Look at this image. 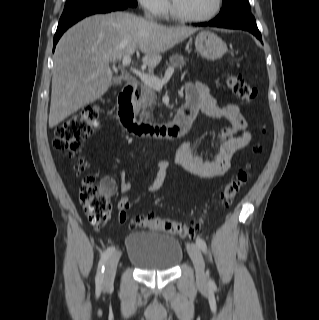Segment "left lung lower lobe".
<instances>
[{"mask_svg":"<svg viewBox=\"0 0 319 320\" xmlns=\"http://www.w3.org/2000/svg\"><path fill=\"white\" fill-rule=\"evenodd\" d=\"M195 26H213L230 29H242L249 31L258 39H261V34L257 28L255 18L251 12L234 11L226 15H218L215 19L205 22L194 24Z\"/></svg>","mask_w":319,"mask_h":320,"instance_id":"obj_1","label":"left lung lower lobe"}]
</instances>
